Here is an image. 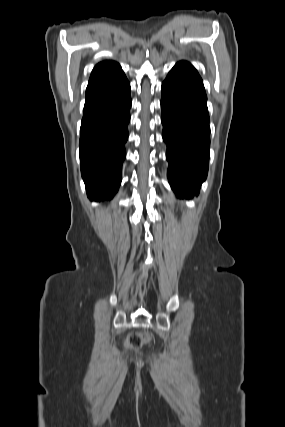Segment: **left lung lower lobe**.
I'll list each match as a JSON object with an SVG mask.
<instances>
[{"label": "left lung lower lobe", "mask_w": 285, "mask_h": 427, "mask_svg": "<svg viewBox=\"0 0 285 427\" xmlns=\"http://www.w3.org/2000/svg\"><path fill=\"white\" fill-rule=\"evenodd\" d=\"M161 120L167 144L169 183L179 197L198 195L207 177L210 128L201 77L188 62H178L162 84Z\"/></svg>", "instance_id": "1"}]
</instances>
